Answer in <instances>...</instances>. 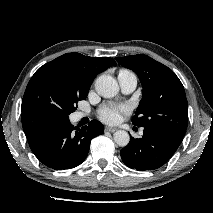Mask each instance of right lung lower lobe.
Returning a JSON list of instances; mask_svg holds the SVG:
<instances>
[{"label":"right lung lower lobe","instance_id":"right-lung-lower-lobe-1","mask_svg":"<svg viewBox=\"0 0 213 213\" xmlns=\"http://www.w3.org/2000/svg\"><path fill=\"white\" fill-rule=\"evenodd\" d=\"M21 119L32 152L42 164L54 170L81 164L87 157L91 140L104 133L103 124L97 120L79 129L69 119L34 111H23Z\"/></svg>","mask_w":213,"mask_h":213}]
</instances>
